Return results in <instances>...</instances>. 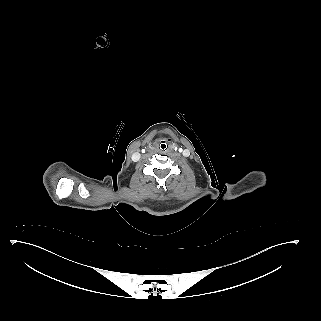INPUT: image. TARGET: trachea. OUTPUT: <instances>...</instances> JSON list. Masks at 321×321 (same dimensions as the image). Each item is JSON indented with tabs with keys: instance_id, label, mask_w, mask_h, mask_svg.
<instances>
[{
	"instance_id": "1",
	"label": "trachea",
	"mask_w": 321,
	"mask_h": 321,
	"mask_svg": "<svg viewBox=\"0 0 321 321\" xmlns=\"http://www.w3.org/2000/svg\"><path fill=\"white\" fill-rule=\"evenodd\" d=\"M158 149H159L160 152L165 153V152L168 151L169 146H168L167 143L162 142V143L159 144Z\"/></svg>"
}]
</instances>
